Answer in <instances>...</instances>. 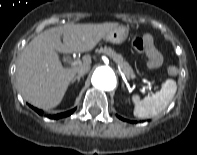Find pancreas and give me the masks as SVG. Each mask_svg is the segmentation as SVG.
Here are the masks:
<instances>
[{"instance_id": "cf45deb5", "label": "pancreas", "mask_w": 197, "mask_h": 155, "mask_svg": "<svg viewBox=\"0 0 197 155\" xmlns=\"http://www.w3.org/2000/svg\"><path fill=\"white\" fill-rule=\"evenodd\" d=\"M98 52L104 53V54L110 56L116 63H118L128 79L135 78V74L133 72V69L131 68L129 63L124 60V58L121 54L116 53L113 49H111L110 47H106V46L98 49Z\"/></svg>"}]
</instances>
